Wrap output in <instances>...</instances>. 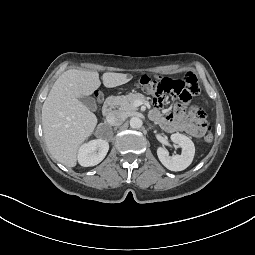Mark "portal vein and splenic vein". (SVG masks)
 <instances>
[{
    "instance_id": "portal-vein-and-splenic-vein-1",
    "label": "portal vein and splenic vein",
    "mask_w": 255,
    "mask_h": 255,
    "mask_svg": "<svg viewBox=\"0 0 255 255\" xmlns=\"http://www.w3.org/2000/svg\"><path fill=\"white\" fill-rule=\"evenodd\" d=\"M140 104H141V103L136 102V101H135V103H134L135 106H139Z\"/></svg>"
}]
</instances>
